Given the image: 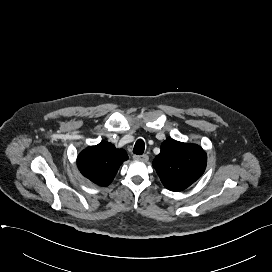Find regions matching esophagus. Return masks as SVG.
<instances>
[{"instance_id": "obj_1", "label": "esophagus", "mask_w": 272, "mask_h": 272, "mask_svg": "<svg viewBox=\"0 0 272 272\" xmlns=\"http://www.w3.org/2000/svg\"><path fill=\"white\" fill-rule=\"evenodd\" d=\"M134 159L142 161V162H147L149 160V157L146 154H144V155H135Z\"/></svg>"}]
</instances>
